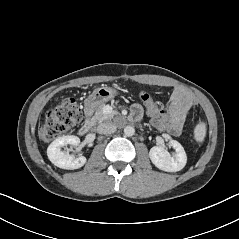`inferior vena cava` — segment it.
I'll list each match as a JSON object with an SVG mask.
<instances>
[{
	"mask_svg": "<svg viewBox=\"0 0 239 239\" xmlns=\"http://www.w3.org/2000/svg\"><path fill=\"white\" fill-rule=\"evenodd\" d=\"M116 131V126L110 122L102 123L98 126L97 132L99 134H111Z\"/></svg>",
	"mask_w": 239,
	"mask_h": 239,
	"instance_id": "inferior-vena-cava-1",
	"label": "inferior vena cava"
}]
</instances>
